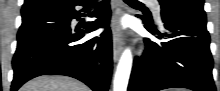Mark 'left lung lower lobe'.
I'll use <instances>...</instances> for the list:
<instances>
[{
	"label": "left lung lower lobe",
	"mask_w": 220,
	"mask_h": 91,
	"mask_svg": "<svg viewBox=\"0 0 220 91\" xmlns=\"http://www.w3.org/2000/svg\"><path fill=\"white\" fill-rule=\"evenodd\" d=\"M161 16L165 33L138 16L151 34L164 38L165 42L145 39V52L134 60L128 91L167 88L215 91L206 20L167 9L161 11Z\"/></svg>",
	"instance_id": "0a47b994"
}]
</instances>
